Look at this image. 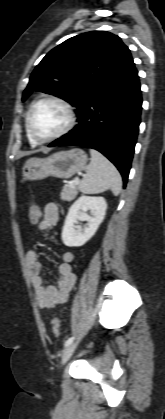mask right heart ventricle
I'll use <instances>...</instances> for the list:
<instances>
[{
    "label": "right heart ventricle",
    "instance_id": "e07e8e85",
    "mask_svg": "<svg viewBox=\"0 0 165 419\" xmlns=\"http://www.w3.org/2000/svg\"><path fill=\"white\" fill-rule=\"evenodd\" d=\"M26 133H27V138H28L29 143L33 146L37 145V143L32 139V137L28 133L27 127H26Z\"/></svg>",
    "mask_w": 165,
    "mask_h": 419
}]
</instances>
